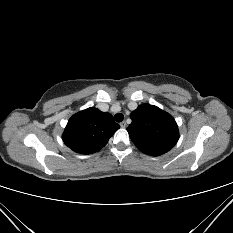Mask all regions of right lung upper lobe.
Listing matches in <instances>:
<instances>
[{"label": "right lung upper lobe", "instance_id": "obj_1", "mask_svg": "<svg viewBox=\"0 0 233 233\" xmlns=\"http://www.w3.org/2000/svg\"><path fill=\"white\" fill-rule=\"evenodd\" d=\"M119 128L110 113L90 107L69 119L62 139L74 152L92 154L103 148Z\"/></svg>", "mask_w": 233, "mask_h": 233}]
</instances>
